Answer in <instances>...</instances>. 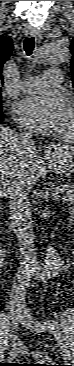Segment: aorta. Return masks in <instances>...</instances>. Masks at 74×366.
Returning <instances> with one entry per match:
<instances>
[{
	"label": "aorta",
	"instance_id": "aorta-1",
	"mask_svg": "<svg viewBox=\"0 0 74 366\" xmlns=\"http://www.w3.org/2000/svg\"><path fill=\"white\" fill-rule=\"evenodd\" d=\"M68 47L60 42L43 44L31 58V63L35 65L59 66L67 61ZM58 256L55 249L49 245L46 254V269L48 276L56 273Z\"/></svg>",
	"mask_w": 74,
	"mask_h": 366
}]
</instances>
